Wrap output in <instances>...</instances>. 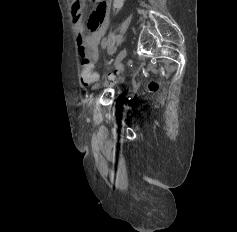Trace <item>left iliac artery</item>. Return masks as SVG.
Returning a JSON list of instances; mask_svg holds the SVG:
<instances>
[{"mask_svg":"<svg viewBox=\"0 0 237 232\" xmlns=\"http://www.w3.org/2000/svg\"><path fill=\"white\" fill-rule=\"evenodd\" d=\"M106 46H107V38L105 37V38H103L102 41H101V47H102V49H105Z\"/></svg>","mask_w":237,"mask_h":232,"instance_id":"1","label":"left iliac artery"}]
</instances>
